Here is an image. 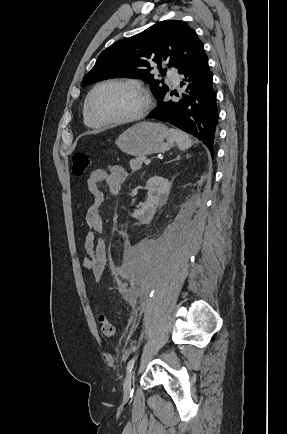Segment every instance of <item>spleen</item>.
Wrapping results in <instances>:
<instances>
[{
  "instance_id": "spleen-1",
  "label": "spleen",
  "mask_w": 287,
  "mask_h": 434,
  "mask_svg": "<svg viewBox=\"0 0 287 434\" xmlns=\"http://www.w3.org/2000/svg\"><path fill=\"white\" fill-rule=\"evenodd\" d=\"M169 132L181 151H185L193 145V141L187 133L178 129H169Z\"/></svg>"
}]
</instances>
